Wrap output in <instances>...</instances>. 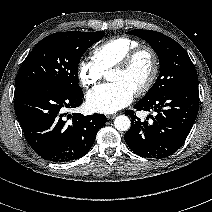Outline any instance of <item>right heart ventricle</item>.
I'll list each match as a JSON object with an SVG mask.
<instances>
[{"label": "right heart ventricle", "instance_id": "right-heart-ventricle-1", "mask_svg": "<svg viewBox=\"0 0 212 212\" xmlns=\"http://www.w3.org/2000/svg\"><path fill=\"white\" fill-rule=\"evenodd\" d=\"M138 46L139 42L132 38L126 36L113 37L100 43L93 49V60L105 72Z\"/></svg>", "mask_w": 212, "mask_h": 212}]
</instances>
